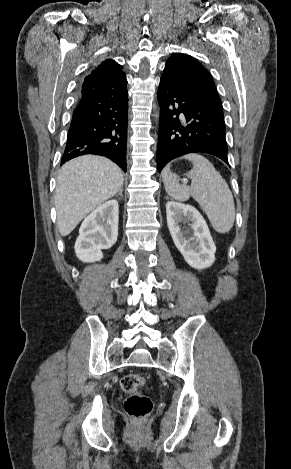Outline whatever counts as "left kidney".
I'll return each instance as SVG.
<instances>
[{
	"mask_svg": "<svg viewBox=\"0 0 291 469\" xmlns=\"http://www.w3.org/2000/svg\"><path fill=\"white\" fill-rule=\"evenodd\" d=\"M167 225L177 249L195 269L210 267L215 261L216 246L208 225L191 205L169 201L166 204ZM188 220L190 229L182 230L180 222Z\"/></svg>",
	"mask_w": 291,
	"mask_h": 469,
	"instance_id": "1",
	"label": "left kidney"
}]
</instances>
